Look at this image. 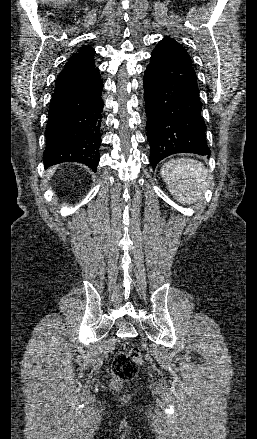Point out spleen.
Here are the masks:
<instances>
[{
	"mask_svg": "<svg viewBox=\"0 0 257 439\" xmlns=\"http://www.w3.org/2000/svg\"><path fill=\"white\" fill-rule=\"evenodd\" d=\"M171 194L182 204H193L209 184V172L202 163L188 158L173 159L161 168Z\"/></svg>",
	"mask_w": 257,
	"mask_h": 439,
	"instance_id": "obj_1",
	"label": "spleen"
}]
</instances>
